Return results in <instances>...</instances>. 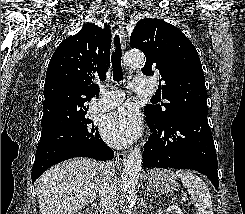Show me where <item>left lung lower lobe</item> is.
<instances>
[{
	"label": "left lung lower lobe",
	"mask_w": 245,
	"mask_h": 214,
	"mask_svg": "<svg viewBox=\"0 0 245 214\" xmlns=\"http://www.w3.org/2000/svg\"><path fill=\"white\" fill-rule=\"evenodd\" d=\"M147 119L151 134L144 145L143 167L192 169L206 175L218 191V162L207 114H190L166 125Z\"/></svg>",
	"instance_id": "left-lung-lower-lobe-1"
}]
</instances>
